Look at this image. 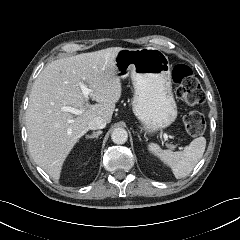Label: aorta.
Returning <instances> with one entry per match:
<instances>
[{
  "label": "aorta",
  "instance_id": "762f6f07",
  "mask_svg": "<svg viewBox=\"0 0 240 240\" xmlns=\"http://www.w3.org/2000/svg\"><path fill=\"white\" fill-rule=\"evenodd\" d=\"M111 139L115 144H124L128 139V133L124 128H115L111 134Z\"/></svg>",
  "mask_w": 240,
  "mask_h": 240
}]
</instances>
